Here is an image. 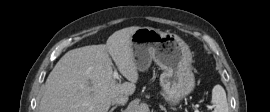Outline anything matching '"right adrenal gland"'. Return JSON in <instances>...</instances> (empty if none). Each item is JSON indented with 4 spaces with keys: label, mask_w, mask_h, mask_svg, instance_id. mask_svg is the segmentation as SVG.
Wrapping results in <instances>:
<instances>
[{
    "label": "right adrenal gland",
    "mask_w": 270,
    "mask_h": 112,
    "mask_svg": "<svg viewBox=\"0 0 270 112\" xmlns=\"http://www.w3.org/2000/svg\"><path fill=\"white\" fill-rule=\"evenodd\" d=\"M116 108H117V105H115L114 107H112L109 112H113Z\"/></svg>",
    "instance_id": "obj_1"
}]
</instances>
